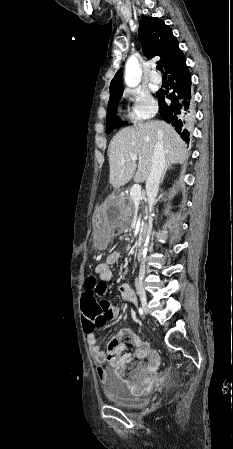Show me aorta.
<instances>
[{"mask_svg": "<svg viewBox=\"0 0 233 449\" xmlns=\"http://www.w3.org/2000/svg\"><path fill=\"white\" fill-rule=\"evenodd\" d=\"M142 77V70L135 56H131L125 65V83L129 87L139 85Z\"/></svg>", "mask_w": 233, "mask_h": 449, "instance_id": "obj_1", "label": "aorta"}]
</instances>
